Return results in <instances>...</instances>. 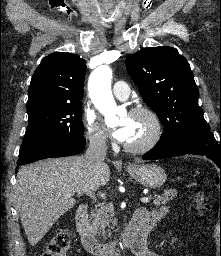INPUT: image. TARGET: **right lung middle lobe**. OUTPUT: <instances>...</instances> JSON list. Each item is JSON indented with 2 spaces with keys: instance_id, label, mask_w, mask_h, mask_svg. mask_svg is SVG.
I'll return each mask as SVG.
<instances>
[{
  "instance_id": "dd1d6c3e",
  "label": "right lung middle lobe",
  "mask_w": 221,
  "mask_h": 256,
  "mask_svg": "<svg viewBox=\"0 0 221 256\" xmlns=\"http://www.w3.org/2000/svg\"><path fill=\"white\" fill-rule=\"evenodd\" d=\"M29 124L20 152L49 138L83 136L82 103L46 104L27 110Z\"/></svg>"
}]
</instances>
